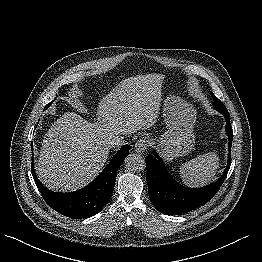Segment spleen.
<instances>
[{
  "instance_id": "1",
  "label": "spleen",
  "mask_w": 262,
  "mask_h": 262,
  "mask_svg": "<svg viewBox=\"0 0 262 262\" xmlns=\"http://www.w3.org/2000/svg\"><path fill=\"white\" fill-rule=\"evenodd\" d=\"M219 167V157L208 152L182 164L180 174L183 182L190 186H201L210 182Z\"/></svg>"
}]
</instances>
